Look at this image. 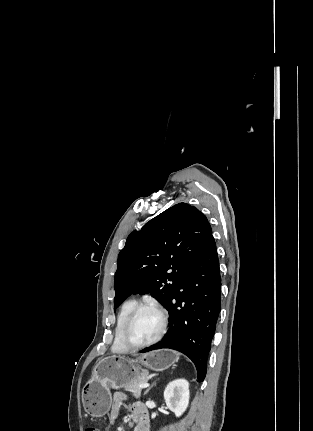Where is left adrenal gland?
Masks as SVG:
<instances>
[{
	"label": "left adrenal gland",
	"instance_id": "left-adrenal-gland-1",
	"mask_svg": "<svg viewBox=\"0 0 313 431\" xmlns=\"http://www.w3.org/2000/svg\"><path fill=\"white\" fill-rule=\"evenodd\" d=\"M153 385H154V383H152L151 386L147 388V390L144 392V395L148 394V392L151 390Z\"/></svg>",
	"mask_w": 313,
	"mask_h": 431
}]
</instances>
